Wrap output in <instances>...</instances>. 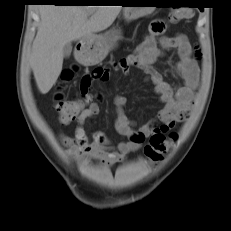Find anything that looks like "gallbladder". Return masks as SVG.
Listing matches in <instances>:
<instances>
[{
	"label": "gallbladder",
	"mask_w": 231,
	"mask_h": 231,
	"mask_svg": "<svg viewBox=\"0 0 231 231\" xmlns=\"http://www.w3.org/2000/svg\"><path fill=\"white\" fill-rule=\"evenodd\" d=\"M72 52V45L71 43H66L63 47V56L64 57H69L71 55Z\"/></svg>",
	"instance_id": "obj_1"
}]
</instances>
